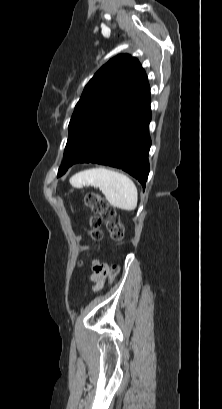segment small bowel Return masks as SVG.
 Instances as JSON below:
<instances>
[{
	"label": "small bowel",
	"instance_id": "1",
	"mask_svg": "<svg viewBox=\"0 0 222 409\" xmlns=\"http://www.w3.org/2000/svg\"><path fill=\"white\" fill-rule=\"evenodd\" d=\"M92 263L93 274L91 275V280L95 283L93 290L97 291L102 287L108 276L106 271L109 268L110 263L108 260H103L101 256H94L92 258Z\"/></svg>",
	"mask_w": 222,
	"mask_h": 409
}]
</instances>
